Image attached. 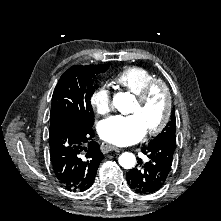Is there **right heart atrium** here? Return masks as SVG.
Here are the masks:
<instances>
[{"mask_svg": "<svg viewBox=\"0 0 221 221\" xmlns=\"http://www.w3.org/2000/svg\"><path fill=\"white\" fill-rule=\"evenodd\" d=\"M90 103L96 113L100 115L108 114L112 106L111 94L108 87L105 85L97 87L90 96Z\"/></svg>", "mask_w": 221, "mask_h": 221, "instance_id": "right-heart-atrium-1", "label": "right heart atrium"}]
</instances>
